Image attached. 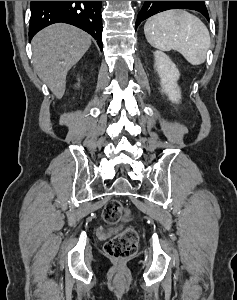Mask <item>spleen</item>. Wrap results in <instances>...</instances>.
Segmentation results:
<instances>
[{
  "label": "spleen",
  "mask_w": 237,
  "mask_h": 300,
  "mask_svg": "<svg viewBox=\"0 0 237 300\" xmlns=\"http://www.w3.org/2000/svg\"><path fill=\"white\" fill-rule=\"evenodd\" d=\"M144 35L151 47L159 51H178L190 65L204 63L211 45L204 23L180 9H171L147 19Z\"/></svg>",
  "instance_id": "spleen-1"
}]
</instances>
